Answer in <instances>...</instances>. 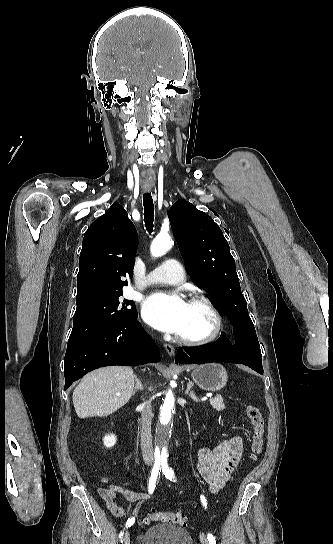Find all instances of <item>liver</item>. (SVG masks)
<instances>
[{
    "label": "liver",
    "mask_w": 333,
    "mask_h": 544,
    "mask_svg": "<svg viewBox=\"0 0 333 544\" xmlns=\"http://www.w3.org/2000/svg\"><path fill=\"white\" fill-rule=\"evenodd\" d=\"M133 370L124 366H109L87 374L73 392L77 416H108L124 406L134 388Z\"/></svg>",
    "instance_id": "1"
}]
</instances>
